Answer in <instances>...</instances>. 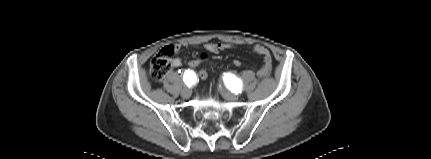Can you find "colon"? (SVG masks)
Returning a JSON list of instances; mask_svg holds the SVG:
<instances>
[{
    "label": "colon",
    "instance_id": "colon-1",
    "mask_svg": "<svg viewBox=\"0 0 431 159\" xmlns=\"http://www.w3.org/2000/svg\"><path fill=\"white\" fill-rule=\"evenodd\" d=\"M174 53V48L169 47L162 50L151 60L150 63V74L151 77L156 80H162L165 75L171 69L170 56ZM212 59V54L208 51H201L198 58H192L188 61V68L190 70H196L199 68V75L203 81L209 78V62ZM242 62L240 60L234 61V66L236 68L242 67Z\"/></svg>",
    "mask_w": 431,
    "mask_h": 159
}]
</instances>
